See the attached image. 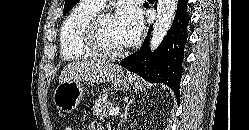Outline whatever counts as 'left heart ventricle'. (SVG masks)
Instances as JSON below:
<instances>
[{
    "mask_svg": "<svg viewBox=\"0 0 249 130\" xmlns=\"http://www.w3.org/2000/svg\"><path fill=\"white\" fill-rule=\"evenodd\" d=\"M101 38L104 45L109 50H120L126 47L119 28L116 24L115 17L110 15L107 16L101 26Z\"/></svg>",
    "mask_w": 249,
    "mask_h": 130,
    "instance_id": "1",
    "label": "left heart ventricle"
}]
</instances>
